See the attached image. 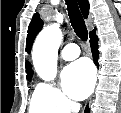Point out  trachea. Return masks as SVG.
<instances>
[{
  "mask_svg": "<svg viewBox=\"0 0 121 113\" xmlns=\"http://www.w3.org/2000/svg\"><path fill=\"white\" fill-rule=\"evenodd\" d=\"M70 22L76 35L83 41L88 39V31L76 0H66Z\"/></svg>",
  "mask_w": 121,
  "mask_h": 113,
  "instance_id": "trachea-1",
  "label": "trachea"
}]
</instances>
